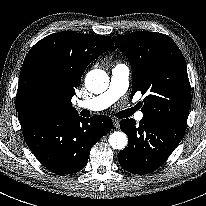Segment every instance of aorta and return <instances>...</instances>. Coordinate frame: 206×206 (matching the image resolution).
Here are the masks:
<instances>
[{"mask_svg":"<svg viewBox=\"0 0 206 206\" xmlns=\"http://www.w3.org/2000/svg\"><path fill=\"white\" fill-rule=\"evenodd\" d=\"M86 88L95 94L104 92L109 86V77L101 69H94L87 73L85 77ZM128 138L124 132L117 131L110 135L109 144L112 148L122 150L126 147Z\"/></svg>","mask_w":206,"mask_h":206,"instance_id":"aorta-1","label":"aorta"}]
</instances>
